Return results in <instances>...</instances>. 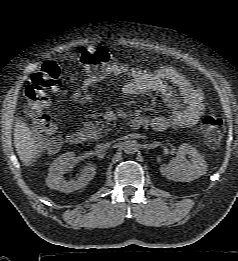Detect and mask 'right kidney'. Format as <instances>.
Instances as JSON below:
<instances>
[{"label":"right kidney","mask_w":238,"mask_h":261,"mask_svg":"<svg viewBox=\"0 0 238 261\" xmlns=\"http://www.w3.org/2000/svg\"><path fill=\"white\" fill-rule=\"evenodd\" d=\"M75 164V153L67 152L56 158L49 168L46 178V185L54 190L70 193L85 187L91 181L96 168L93 164H88L80 171L76 180L66 181L63 175Z\"/></svg>","instance_id":"right-kidney-1"}]
</instances>
